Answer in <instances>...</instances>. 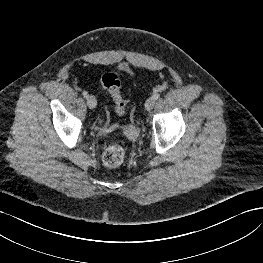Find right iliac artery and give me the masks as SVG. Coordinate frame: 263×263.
Segmentation results:
<instances>
[{"mask_svg":"<svg viewBox=\"0 0 263 263\" xmlns=\"http://www.w3.org/2000/svg\"><path fill=\"white\" fill-rule=\"evenodd\" d=\"M82 95L87 98L88 97V92L87 91H83Z\"/></svg>","mask_w":263,"mask_h":263,"instance_id":"right-iliac-artery-1","label":"right iliac artery"}]
</instances>
